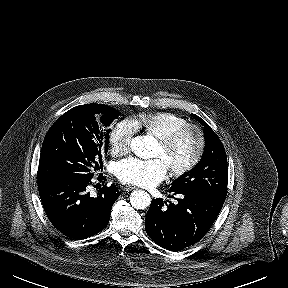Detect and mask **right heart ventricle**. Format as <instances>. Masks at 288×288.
<instances>
[{
  "label": "right heart ventricle",
  "mask_w": 288,
  "mask_h": 288,
  "mask_svg": "<svg viewBox=\"0 0 288 288\" xmlns=\"http://www.w3.org/2000/svg\"><path fill=\"white\" fill-rule=\"evenodd\" d=\"M132 121L136 128H143L156 138H161L171 130L188 123L185 118L171 112L143 114Z\"/></svg>",
  "instance_id": "1"
}]
</instances>
